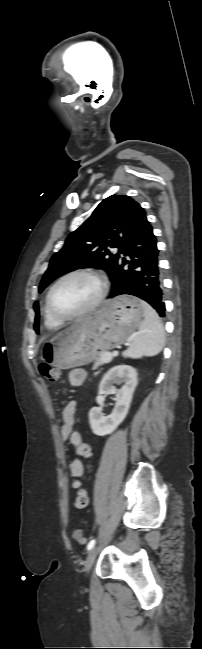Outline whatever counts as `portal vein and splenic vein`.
Segmentation results:
<instances>
[{
	"instance_id": "18ae733b",
	"label": "portal vein and splenic vein",
	"mask_w": 202,
	"mask_h": 649,
	"mask_svg": "<svg viewBox=\"0 0 202 649\" xmlns=\"http://www.w3.org/2000/svg\"><path fill=\"white\" fill-rule=\"evenodd\" d=\"M112 355L113 354H111L109 352L102 353L101 354V359H102V361L104 363H109L111 361V359H112Z\"/></svg>"
}]
</instances>
